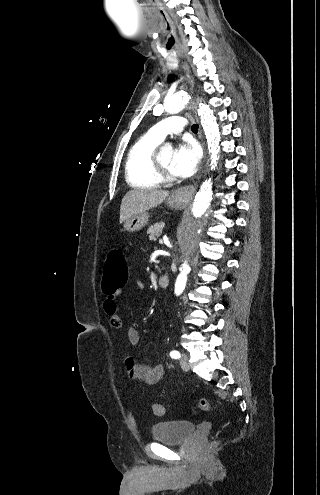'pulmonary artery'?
<instances>
[{
	"label": "pulmonary artery",
	"mask_w": 320,
	"mask_h": 495,
	"mask_svg": "<svg viewBox=\"0 0 320 495\" xmlns=\"http://www.w3.org/2000/svg\"><path fill=\"white\" fill-rule=\"evenodd\" d=\"M187 124V121L182 116H170L166 119L161 120L157 124H155L149 130V133L159 139L163 140L167 135L173 133H179L183 131Z\"/></svg>",
	"instance_id": "obj_1"
}]
</instances>
